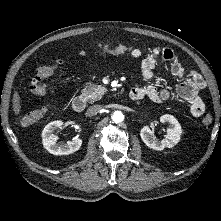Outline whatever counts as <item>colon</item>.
<instances>
[{"label":"colon","mask_w":221,"mask_h":221,"mask_svg":"<svg viewBox=\"0 0 221 221\" xmlns=\"http://www.w3.org/2000/svg\"><path fill=\"white\" fill-rule=\"evenodd\" d=\"M98 49L101 51L109 50L115 52H125L128 53L131 50L130 46L124 44H100ZM83 53V52H82ZM60 61L49 63L38 68L36 73L30 80L29 90L36 95H45L49 92V89L43 83L45 79L49 78L57 68ZM47 108H41L35 111H32L22 117L20 123L22 126H29L38 122L46 113ZM213 122L211 115H206L202 119V125L204 128H209Z\"/></svg>","instance_id":"colon-1"}]
</instances>
